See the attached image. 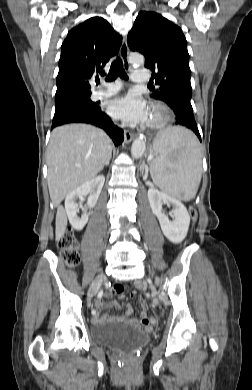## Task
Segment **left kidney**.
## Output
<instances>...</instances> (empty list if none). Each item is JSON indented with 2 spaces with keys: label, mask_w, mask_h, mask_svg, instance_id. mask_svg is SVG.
<instances>
[{
  "label": "left kidney",
  "mask_w": 252,
  "mask_h": 390,
  "mask_svg": "<svg viewBox=\"0 0 252 390\" xmlns=\"http://www.w3.org/2000/svg\"><path fill=\"white\" fill-rule=\"evenodd\" d=\"M148 199L152 212L159 220L164 236L173 243L182 242L187 235L190 224V216L185 206L176 198L153 187L148 190ZM163 204L173 206L174 219L172 221L163 212Z\"/></svg>",
  "instance_id": "5707ae66"
}]
</instances>
